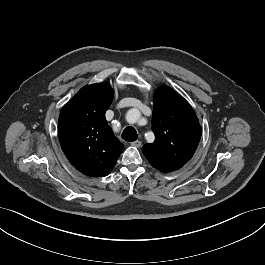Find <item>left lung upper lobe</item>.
Segmentation results:
<instances>
[{
  "label": "left lung upper lobe",
  "instance_id": "5c2ea615",
  "mask_svg": "<svg viewBox=\"0 0 265 265\" xmlns=\"http://www.w3.org/2000/svg\"><path fill=\"white\" fill-rule=\"evenodd\" d=\"M152 129L155 141L142 152L161 172L180 169L193 156L201 138L198 118L189 103L169 87L154 95Z\"/></svg>",
  "mask_w": 265,
  "mask_h": 265
}]
</instances>
